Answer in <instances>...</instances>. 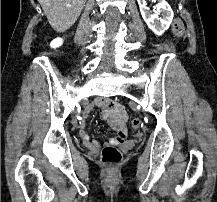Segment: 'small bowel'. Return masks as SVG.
Wrapping results in <instances>:
<instances>
[{
	"mask_svg": "<svg viewBox=\"0 0 217 202\" xmlns=\"http://www.w3.org/2000/svg\"><path fill=\"white\" fill-rule=\"evenodd\" d=\"M96 105L98 106V109H100L102 116L106 118L107 121H109V126H111L112 130L115 133L114 137L110 138L106 144L117 146L125 144L127 140V115L125 114V110L123 112V104H119L118 101H97ZM91 108H89V110L84 114V118L87 117V114ZM79 135L84 144L90 149L97 150L101 146L99 141L94 139L91 140L89 138V135L84 130H80Z\"/></svg>",
	"mask_w": 217,
	"mask_h": 202,
	"instance_id": "1",
	"label": "small bowel"
}]
</instances>
